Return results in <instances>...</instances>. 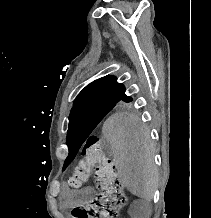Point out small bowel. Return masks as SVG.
Masks as SVG:
<instances>
[{"mask_svg": "<svg viewBox=\"0 0 211 218\" xmlns=\"http://www.w3.org/2000/svg\"><path fill=\"white\" fill-rule=\"evenodd\" d=\"M93 193L91 188H85L78 191L68 186H64L62 188L61 197L66 207L75 208L87 203L91 199Z\"/></svg>", "mask_w": 211, "mask_h": 218, "instance_id": "small-bowel-1", "label": "small bowel"}]
</instances>
